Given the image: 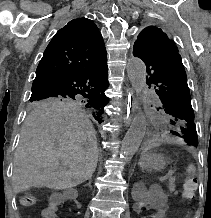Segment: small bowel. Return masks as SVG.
Here are the masks:
<instances>
[{"instance_id":"small-bowel-1","label":"small bowel","mask_w":211,"mask_h":218,"mask_svg":"<svg viewBox=\"0 0 211 218\" xmlns=\"http://www.w3.org/2000/svg\"><path fill=\"white\" fill-rule=\"evenodd\" d=\"M148 210L150 214L143 216L142 218H165L166 209L163 204L157 203L151 205ZM57 207L55 205H50L48 208L44 209L42 212L43 218H56L57 217Z\"/></svg>"}]
</instances>
